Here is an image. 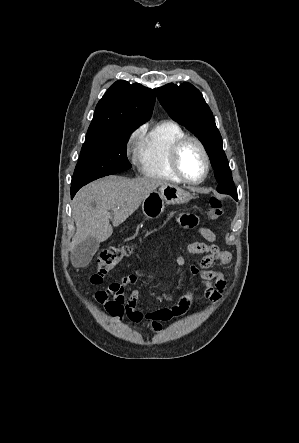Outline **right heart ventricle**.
I'll return each mask as SVG.
<instances>
[{
	"label": "right heart ventricle",
	"mask_w": 299,
	"mask_h": 443,
	"mask_svg": "<svg viewBox=\"0 0 299 443\" xmlns=\"http://www.w3.org/2000/svg\"><path fill=\"white\" fill-rule=\"evenodd\" d=\"M186 132L172 120H164L154 125L140 140L137 148V161L141 173L150 178L170 182H181L171 165L173 145Z\"/></svg>",
	"instance_id": "1"
}]
</instances>
